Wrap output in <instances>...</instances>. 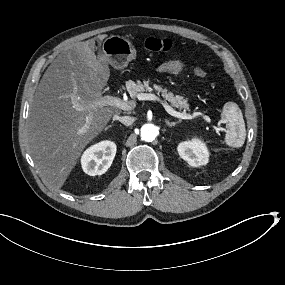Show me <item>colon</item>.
Returning a JSON list of instances; mask_svg holds the SVG:
<instances>
[{
  "label": "colon",
  "instance_id": "5ec220e1",
  "mask_svg": "<svg viewBox=\"0 0 285 285\" xmlns=\"http://www.w3.org/2000/svg\"><path fill=\"white\" fill-rule=\"evenodd\" d=\"M144 46L148 51L164 53L172 49L173 43L170 39L167 38L149 37L145 40ZM193 72L196 76L200 78H204L207 76V72L198 67L194 68Z\"/></svg>",
  "mask_w": 285,
  "mask_h": 285
}]
</instances>
